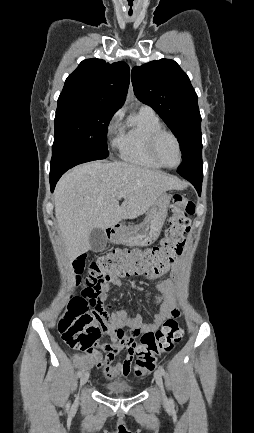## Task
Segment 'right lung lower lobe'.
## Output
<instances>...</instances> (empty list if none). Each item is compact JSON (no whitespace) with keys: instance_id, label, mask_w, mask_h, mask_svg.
<instances>
[{"instance_id":"right-lung-lower-lobe-1","label":"right lung lower lobe","mask_w":254,"mask_h":433,"mask_svg":"<svg viewBox=\"0 0 254 433\" xmlns=\"http://www.w3.org/2000/svg\"><path fill=\"white\" fill-rule=\"evenodd\" d=\"M93 158L87 157L75 149L65 148L59 152L52 153L50 164V187L54 191L55 185L59 178L70 168L88 161Z\"/></svg>"}]
</instances>
